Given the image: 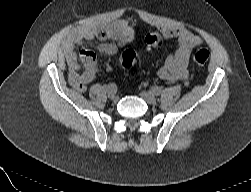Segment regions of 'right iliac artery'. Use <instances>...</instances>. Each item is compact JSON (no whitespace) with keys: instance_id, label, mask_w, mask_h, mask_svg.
I'll use <instances>...</instances> for the list:
<instances>
[{"instance_id":"1","label":"right iliac artery","mask_w":251,"mask_h":192,"mask_svg":"<svg viewBox=\"0 0 251 192\" xmlns=\"http://www.w3.org/2000/svg\"><path fill=\"white\" fill-rule=\"evenodd\" d=\"M105 89L107 92H116L117 86L115 83H109L108 85L105 86Z\"/></svg>"}]
</instances>
